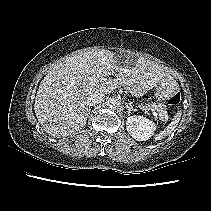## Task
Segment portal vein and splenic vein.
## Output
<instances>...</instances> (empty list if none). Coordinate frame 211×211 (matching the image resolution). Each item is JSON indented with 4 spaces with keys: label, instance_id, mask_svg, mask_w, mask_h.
<instances>
[{
    "label": "portal vein and splenic vein",
    "instance_id": "18ae733b",
    "mask_svg": "<svg viewBox=\"0 0 211 211\" xmlns=\"http://www.w3.org/2000/svg\"><path fill=\"white\" fill-rule=\"evenodd\" d=\"M102 80H105V79L103 78ZM141 109H143V111L147 112V109H146V108L141 107ZM151 113H152L154 116H157V115H158V113L155 112L154 110H152Z\"/></svg>",
    "mask_w": 211,
    "mask_h": 211
}]
</instances>
